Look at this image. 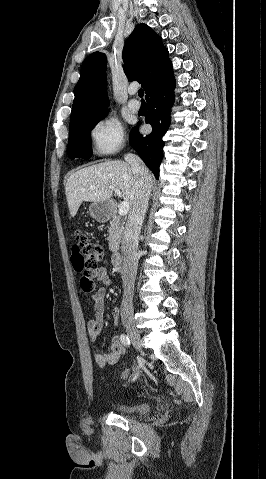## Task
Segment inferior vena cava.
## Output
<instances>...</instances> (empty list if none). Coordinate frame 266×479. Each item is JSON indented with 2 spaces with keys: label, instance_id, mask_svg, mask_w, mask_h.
<instances>
[{
  "label": "inferior vena cava",
  "instance_id": "1",
  "mask_svg": "<svg viewBox=\"0 0 266 479\" xmlns=\"http://www.w3.org/2000/svg\"><path fill=\"white\" fill-rule=\"evenodd\" d=\"M125 160L130 164L135 176V199L130 209L128 220L124 229L121 245L122 254V282L123 300L121 303V319L133 317L134 283L138 268V243L139 234L148 207L152 179L148 169L141 159L133 154L125 155Z\"/></svg>",
  "mask_w": 266,
  "mask_h": 479
}]
</instances>
